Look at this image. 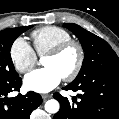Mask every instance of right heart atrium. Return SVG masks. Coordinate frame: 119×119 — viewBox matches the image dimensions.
Returning <instances> with one entry per match:
<instances>
[{
  "label": "right heart atrium",
  "mask_w": 119,
  "mask_h": 119,
  "mask_svg": "<svg viewBox=\"0 0 119 119\" xmlns=\"http://www.w3.org/2000/svg\"><path fill=\"white\" fill-rule=\"evenodd\" d=\"M14 68L19 73L29 72L37 62V55L24 37L14 40L9 51Z\"/></svg>",
  "instance_id": "right-heart-atrium-1"
}]
</instances>
